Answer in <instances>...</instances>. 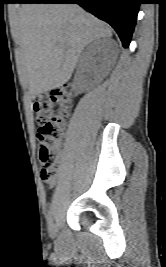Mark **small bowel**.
Instances as JSON below:
<instances>
[{
	"instance_id": "1",
	"label": "small bowel",
	"mask_w": 166,
	"mask_h": 267,
	"mask_svg": "<svg viewBox=\"0 0 166 267\" xmlns=\"http://www.w3.org/2000/svg\"><path fill=\"white\" fill-rule=\"evenodd\" d=\"M47 183H48L49 186H53V184H54V179H53L52 181H50V182H47Z\"/></svg>"
}]
</instances>
